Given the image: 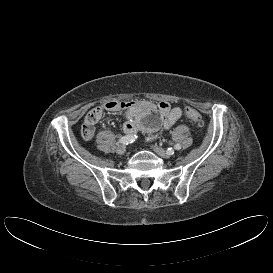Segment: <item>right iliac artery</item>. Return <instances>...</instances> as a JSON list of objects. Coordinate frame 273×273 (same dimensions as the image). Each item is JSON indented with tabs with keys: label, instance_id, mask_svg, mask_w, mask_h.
I'll use <instances>...</instances> for the list:
<instances>
[{
	"label": "right iliac artery",
	"instance_id": "obj_1",
	"mask_svg": "<svg viewBox=\"0 0 273 273\" xmlns=\"http://www.w3.org/2000/svg\"><path fill=\"white\" fill-rule=\"evenodd\" d=\"M136 139H137L136 135H133V134L126 135V136L121 137L118 140V143H122L123 145H128L130 143H133Z\"/></svg>",
	"mask_w": 273,
	"mask_h": 273
}]
</instances>
